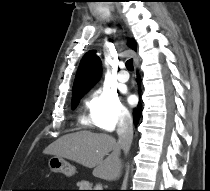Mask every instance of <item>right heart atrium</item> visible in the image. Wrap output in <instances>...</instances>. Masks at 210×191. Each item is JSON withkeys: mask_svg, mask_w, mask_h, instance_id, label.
<instances>
[{"mask_svg": "<svg viewBox=\"0 0 210 191\" xmlns=\"http://www.w3.org/2000/svg\"><path fill=\"white\" fill-rule=\"evenodd\" d=\"M86 107L90 122L102 131L112 132L130 120V113L117 92L109 88L101 87L93 91Z\"/></svg>", "mask_w": 210, "mask_h": 191, "instance_id": "d8ad5b80", "label": "right heart atrium"}]
</instances>
